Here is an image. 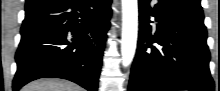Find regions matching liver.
<instances>
[{"mask_svg": "<svg viewBox=\"0 0 220 91\" xmlns=\"http://www.w3.org/2000/svg\"><path fill=\"white\" fill-rule=\"evenodd\" d=\"M21 91H83L72 82L59 79H40L33 81L22 88Z\"/></svg>", "mask_w": 220, "mask_h": 91, "instance_id": "1", "label": "liver"}]
</instances>
